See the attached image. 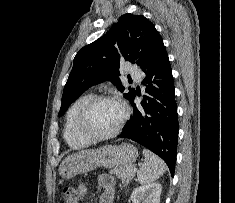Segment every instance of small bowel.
Returning a JSON list of instances; mask_svg holds the SVG:
<instances>
[{"label": "small bowel", "mask_w": 235, "mask_h": 203, "mask_svg": "<svg viewBox=\"0 0 235 203\" xmlns=\"http://www.w3.org/2000/svg\"><path fill=\"white\" fill-rule=\"evenodd\" d=\"M98 186L103 190L99 203H113L115 195L114 179L107 174H102L97 179Z\"/></svg>", "instance_id": "c3829d8e"}]
</instances>
